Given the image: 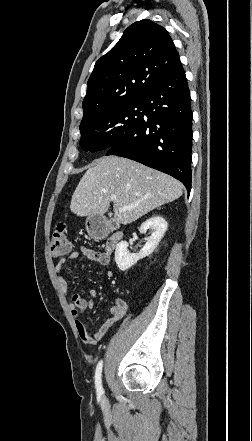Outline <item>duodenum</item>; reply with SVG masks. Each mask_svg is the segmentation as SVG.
Returning a JSON list of instances; mask_svg holds the SVG:
<instances>
[{
    "mask_svg": "<svg viewBox=\"0 0 252 441\" xmlns=\"http://www.w3.org/2000/svg\"><path fill=\"white\" fill-rule=\"evenodd\" d=\"M90 236L94 239H104L110 233V227L99 219H91L89 222ZM123 237L121 231L112 234L106 243L105 254L109 256L117 247Z\"/></svg>",
    "mask_w": 252,
    "mask_h": 441,
    "instance_id": "1",
    "label": "duodenum"
}]
</instances>
